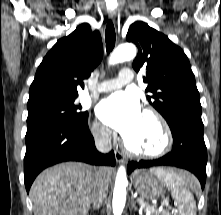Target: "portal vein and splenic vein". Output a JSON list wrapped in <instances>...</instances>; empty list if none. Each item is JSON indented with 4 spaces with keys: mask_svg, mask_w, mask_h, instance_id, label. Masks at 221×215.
Here are the masks:
<instances>
[{
    "mask_svg": "<svg viewBox=\"0 0 221 215\" xmlns=\"http://www.w3.org/2000/svg\"><path fill=\"white\" fill-rule=\"evenodd\" d=\"M136 201L143 206V199H137ZM168 204H169V203H168L167 200L163 202V205L168 206ZM173 211H174V212H177L175 209H173ZM146 215H150V211H147Z\"/></svg>",
    "mask_w": 221,
    "mask_h": 215,
    "instance_id": "portal-vein-and-splenic-vein-1",
    "label": "portal vein and splenic vein"
}]
</instances>
